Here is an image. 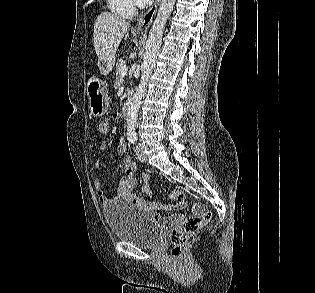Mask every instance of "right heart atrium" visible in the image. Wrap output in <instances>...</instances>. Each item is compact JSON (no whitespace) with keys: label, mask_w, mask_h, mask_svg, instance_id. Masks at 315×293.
Here are the masks:
<instances>
[{"label":"right heart atrium","mask_w":315,"mask_h":293,"mask_svg":"<svg viewBox=\"0 0 315 293\" xmlns=\"http://www.w3.org/2000/svg\"><path fill=\"white\" fill-rule=\"evenodd\" d=\"M135 7H140L144 4L145 0H132Z\"/></svg>","instance_id":"right-heart-atrium-1"}]
</instances>
